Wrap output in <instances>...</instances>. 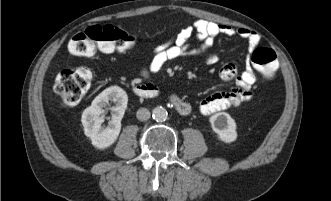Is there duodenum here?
I'll return each mask as SVG.
<instances>
[{
    "label": "duodenum",
    "instance_id": "410a0bca",
    "mask_svg": "<svg viewBox=\"0 0 331 201\" xmlns=\"http://www.w3.org/2000/svg\"><path fill=\"white\" fill-rule=\"evenodd\" d=\"M132 91L135 95L142 98H155L158 92L153 89V87H147L143 85H134Z\"/></svg>",
    "mask_w": 331,
    "mask_h": 201
}]
</instances>
